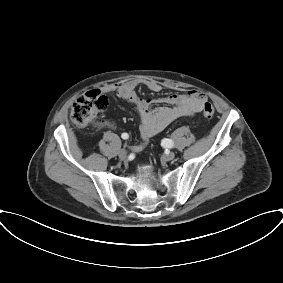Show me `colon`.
Instances as JSON below:
<instances>
[{
  "mask_svg": "<svg viewBox=\"0 0 283 283\" xmlns=\"http://www.w3.org/2000/svg\"><path fill=\"white\" fill-rule=\"evenodd\" d=\"M108 105V99L100 92L94 90L79 96L73 103L70 111L72 123L82 128L93 122L102 114ZM203 116L213 117L215 109L211 103L206 102L203 105Z\"/></svg>",
  "mask_w": 283,
  "mask_h": 283,
  "instance_id": "5ec220e1",
  "label": "colon"
}]
</instances>
